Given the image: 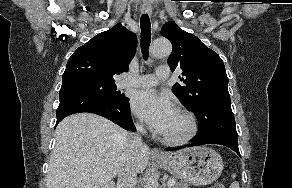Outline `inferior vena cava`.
I'll return each instance as SVG.
<instances>
[{"mask_svg":"<svg viewBox=\"0 0 292 188\" xmlns=\"http://www.w3.org/2000/svg\"><path fill=\"white\" fill-rule=\"evenodd\" d=\"M136 129L137 133H131L128 136L129 155L119 167L116 188H136L137 171L134 162V154L145 146L140 134L146 133L141 124H136Z\"/></svg>","mask_w":292,"mask_h":188,"instance_id":"1","label":"inferior vena cava"}]
</instances>
